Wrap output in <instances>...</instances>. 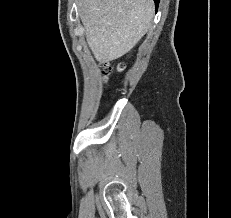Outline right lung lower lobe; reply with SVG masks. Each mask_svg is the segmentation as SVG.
<instances>
[{
    "label": "right lung lower lobe",
    "mask_w": 231,
    "mask_h": 218,
    "mask_svg": "<svg viewBox=\"0 0 231 218\" xmlns=\"http://www.w3.org/2000/svg\"><path fill=\"white\" fill-rule=\"evenodd\" d=\"M159 1H160V0H154L155 5H156V10H157V8H158Z\"/></svg>",
    "instance_id": "1"
}]
</instances>
